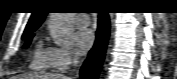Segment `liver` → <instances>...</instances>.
<instances>
[{
	"label": "liver",
	"mask_w": 177,
	"mask_h": 79,
	"mask_svg": "<svg viewBox=\"0 0 177 79\" xmlns=\"http://www.w3.org/2000/svg\"><path fill=\"white\" fill-rule=\"evenodd\" d=\"M15 79H69L66 76L58 74H45V75H23L17 76Z\"/></svg>",
	"instance_id": "1"
}]
</instances>
